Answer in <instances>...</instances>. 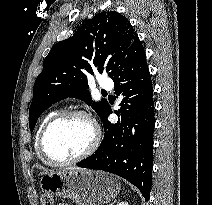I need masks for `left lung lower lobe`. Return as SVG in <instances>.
I'll return each mask as SVG.
<instances>
[{
	"mask_svg": "<svg viewBox=\"0 0 212 205\" xmlns=\"http://www.w3.org/2000/svg\"><path fill=\"white\" fill-rule=\"evenodd\" d=\"M112 80L115 94L124 96L121 108L115 112L121 119L111 124L108 116L112 111L107 107L101 118L105 130L101 145L77 166L121 176L148 200L153 165L154 101L146 54L138 37L128 48Z\"/></svg>",
	"mask_w": 212,
	"mask_h": 205,
	"instance_id": "left-lung-lower-lobe-1",
	"label": "left lung lower lobe"
}]
</instances>
